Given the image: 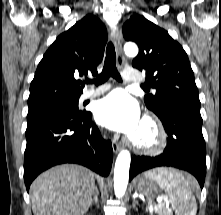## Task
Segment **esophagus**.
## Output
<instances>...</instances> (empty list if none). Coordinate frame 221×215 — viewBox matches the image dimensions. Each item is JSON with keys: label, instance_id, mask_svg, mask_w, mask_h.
I'll return each mask as SVG.
<instances>
[{"label": "esophagus", "instance_id": "34e87169", "mask_svg": "<svg viewBox=\"0 0 221 215\" xmlns=\"http://www.w3.org/2000/svg\"><path fill=\"white\" fill-rule=\"evenodd\" d=\"M112 40L114 42L116 56H117V66L121 69L125 64V58L122 54V44H121V33L118 27H115L112 31ZM112 148L114 153H118L121 150V145L115 140L112 141Z\"/></svg>", "mask_w": 221, "mask_h": 215}]
</instances>
